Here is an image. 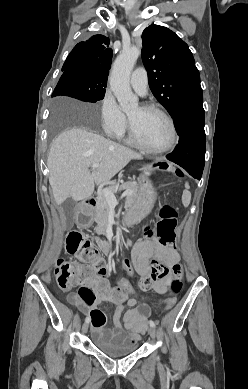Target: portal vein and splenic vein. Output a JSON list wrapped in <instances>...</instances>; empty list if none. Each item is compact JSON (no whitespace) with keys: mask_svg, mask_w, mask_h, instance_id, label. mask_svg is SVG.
I'll list each match as a JSON object with an SVG mask.
<instances>
[{"mask_svg":"<svg viewBox=\"0 0 248 389\" xmlns=\"http://www.w3.org/2000/svg\"><path fill=\"white\" fill-rule=\"evenodd\" d=\"M99 165H100L99 163H94V164H92V168L96 169L99 167ZM101 193H102V195H104V197L106 198V200L110 206H116L118 204V201H117L115 195L113 194V192L109 188H104ZM130 194H131V192L126 191L122 194L121 198L128 196Z\"/></svg>","mask_w":248,"mask_h":389,"instance_id":"18ae733b","label":"portal vein and splenic vein"}]
</instances>
